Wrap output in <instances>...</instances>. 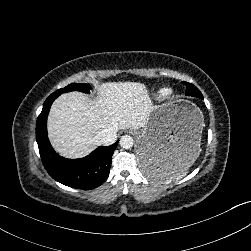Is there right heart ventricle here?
I'll use <instances>...</instances> for the list:
<instances>
[{
  "instance_id": "e07e8e85",
  "label": "right heart ventricle",
  "mask_w": 251,
  "mask_h": 251,
  "mask_svg": "<svg viewBox=\"0 0 251 251\" xmlns=\"http://www.w3.org/2000/svg\"><path fill=\"white\" fill-rule=\"evenodd\" d=\"M173 94V89L169 88V87H165V88H160L158 90H156L153 94L152 97L155 101H164L168 98H170Z\"/></svg>"
}]
</instances>
